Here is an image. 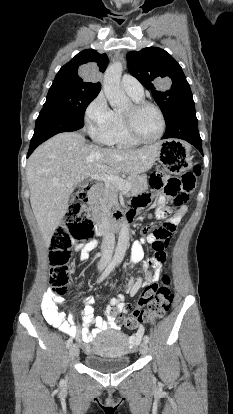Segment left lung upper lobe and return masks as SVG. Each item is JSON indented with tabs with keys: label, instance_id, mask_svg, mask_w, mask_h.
I'll use <instances>...</instances> for the list:
<instances>
[{
	"label": "left lung upper lobe",
	"instance_id": "left-lung-upper-lobe-1",
	"mask_svg": "<svg viewBox=\"0 0 233 414\" xmlns=\"http://www.w3.org/2000/svg\"><path fill=\"white\" fill-rule=\"evenodd\" d=\"M127 65L131 75L152 92L165 122L182 105L193 102L192 92L182 68L165 50L148 47L138 52L131 51L127 54Z\"/></svg>",
	"mask_w": 233,
	"mask_h": 414
}]
</instances>
